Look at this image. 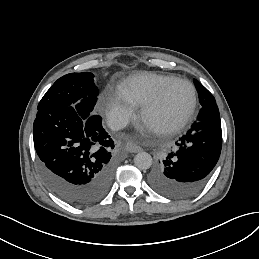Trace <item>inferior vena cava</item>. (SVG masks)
I'll return each instance as SVG.
<instances>
[{
  "mask_svg": "<svg viewBox=\"0 0 259 259\" xmlns=\"http://www.w3.org/2000/svg\"><path fill=\"white\" fill-rule=\"evenodd\" d=\"M128 124V119L125 116L114 114L108 119V126L111 130L118 131L125 128Z\"/></svg>",
  "mask_w": 259,
  "mask_h": 259,
  "instance_id": "602c4592",
  "label": "inferior vena cava"
}]
</instances>
